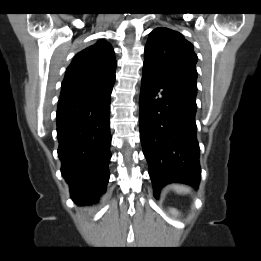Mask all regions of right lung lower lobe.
Segmentation results:
<instances>
[{"mask_svg":"<svg viewBox=\"0 0 261 261\" xmlns=\"http://www.w3.org/2000/svg\"><path fill=\"white\" fill-rule=\"evenodd\" d=\"M113 85L60 97L56 116L61 172L79 205L97 201L109 180Z\"/></svg>","mask_w":261,"mask_h":261,"instance_id":"1","label":"right lung lower lobe"}]
</instances>
